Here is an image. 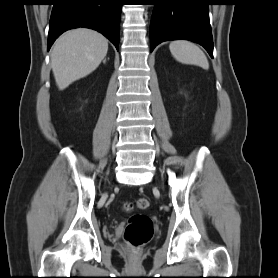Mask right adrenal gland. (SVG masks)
I'll use <instances>...</instances> for the list:
<instances>
[{
    "instance_id": "right-adrenal-gland-1",
    "label": "right adrenal gland",
    "mask_w": 278,
    "mask_h": 278,
    "mask_svg": "<svg viewBox=\"0 0 278 278\" xmlns=\"http://www.w3.org/2000/svg\"><path fill=\"white\" fill-rule=\"evenodd\" d=\"M106 62V59L103 61V63H105Z\"/></svg>"
}]
</instances>
